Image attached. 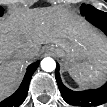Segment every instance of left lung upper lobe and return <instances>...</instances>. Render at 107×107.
Returning <instances> with one entry per match:
<instances>
[{"instance_id":"obj_1","label":"left lung upper lobe","mask_w":107,"mask_h":107,"mask_svg":"<svg viewBox=\"0 0 107 107\" xmlns=\"http://www.w3.org/2000/svg\"><path fill=\"white\" fill-rule=\"evenodd\" d=\"M101 11L95 9L91 5H87V7L82 6L81 7V13L84 16H90L92 14L100 13Z\"/></svg>"}]
</instances>
